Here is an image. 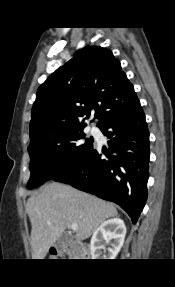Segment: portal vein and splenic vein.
Instances as JSON below:
<instances>
[{
    "mask_svg": "<svg viewBox=\"0 0 175 287\" xmlns=\"http://www.w3.org/2000/svg\"><path fill=\"white\" fill-rule=\"evenodd\" d=\"M71 229L72 230H77L78 229V225L76 223L71 224Z\"/></svg>",
    "mask_w": 175,
    "mask_h": 287,
    "instance_id": "portal-vein-and-splenic-vein-1",
    "label": "portal vein and splenic vein"
}]
</instances>
